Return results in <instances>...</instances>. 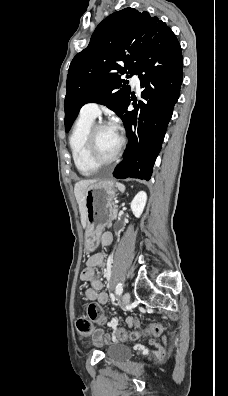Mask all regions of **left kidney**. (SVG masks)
Listing matches in <instances>:
<instances>
[{
  "label": "left kidney",
  "instance_id": "obj_1",
  "mask_svg": "<svg viewBox=\"0 0 228 396\" xmlns=\"http://www.w3.org/2000/svg\"><path fill=\"white\" fill-rule=\"evenodd\" d=\"M147 194L144 191L138 192L131 202V210L135 217L139 218L145 208Z\"/></svg>",
  "mask_w": 228,
  "mask_h": 396
}]
</instances>
